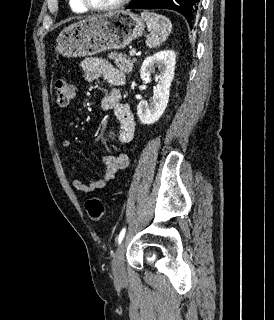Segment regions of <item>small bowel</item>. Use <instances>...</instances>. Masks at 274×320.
Returning <instances> with one entry per match:
<instances>
[{"mask_svg": "<svg viewBox=\"0 0 274 320\" xmlns=\"http://www.w3.org/2000/svg\"><path fill=\"white\" fill-rule=\"evenodd\" d=\"M82 70L85 79L93 82L99 78H104L115 88L101 101V107L105 111H114L120 124L118 144L124 145L132 141L135 134V120L127 104L121 102V91L119 89L125 82L124 74L118 70L109 60L103 57L87 58L82 63ZM70 142L67 139L61 141V148L67 150ZM104 171L100 178L84 183L78 178L71 180V186L83 193H92L106 187L108 183L115 179L119 170L129 167L130 159L126 154H107L103 156Z\"/></svg>", "mask_w": 274, "mask_h": 320, "instance_id": "obj_1", "label": "small bowel"}]
</instances>
